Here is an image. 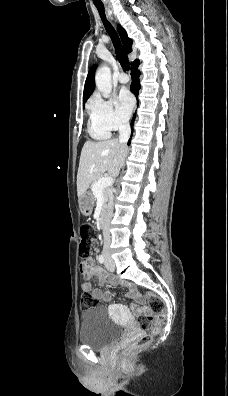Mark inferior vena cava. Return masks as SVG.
Here are the masks:
<instances>
[{
	"mask_svg": "<svg viewBox=\"0 0 228 396\" xmlns=\"http://www.w3.org/2000/svg\"><path fill=\"white\" fill-rule=\"evenodd\" d=\"M130 134H131V129H130L129 121L124 120V121L120 122V124H119V142L122 144H126L129 140ZM113 208H114L113 194L111 193L109 195V201H108V206H107L106 226L103 230V236H104L103 251L105 254H110L111 236H110V231H109V223L113 216Z\"/></svg>",
	"mask_w": 228,
	"mask_h": 396,
	"instance_id": "inferior-vena-cava-1",
	"label": "inferior vena cava"
}]
</instances>
